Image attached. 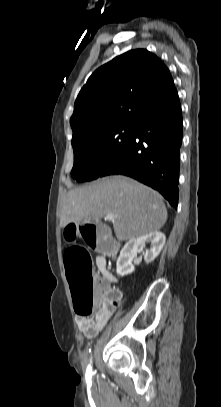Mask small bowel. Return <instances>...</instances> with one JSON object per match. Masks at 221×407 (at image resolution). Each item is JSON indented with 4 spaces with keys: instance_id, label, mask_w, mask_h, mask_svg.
<instances>
[{
    "instance_id": "1",
    "label": "small bowel",
    "mask_w": 221,
    "mask_h": 407,
    "mask_svg": "<svg viewBox=\"0 0 221 407\" xmlns=\"http://www.w3.org/2000/svg\"><path fill=\"white\" fill-rule=\"evenodd\" d=\"M95 262L98 269V275L96 277L98 279L99 287L106 292H109L117 301H119L122 294L119 290L112 288V284L117 282V278L109 271L106 257L104 255H98ZM113 309L114 305L105 304L96 312L94 316H78L76 318V322L79 329L88 338L95 337L108 322L112 315Z\"/></svg>"
}]
</instances>
